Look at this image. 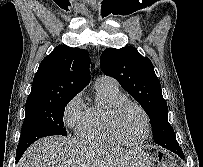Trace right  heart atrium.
Returning <instances> with one entry per match:
<instances>
[{"label":"right heart atrium","mask_w":203,"mask_h":167,"mask_svg":"<svg viewBox=\"0 0 203 167\" xmlns=\"http://www.w3.org/2000/svg\"><path fill=\"white\" fill-rule=\"evenodd\" d=\"M84 112V104L80 94L75 95L65 106L63 120L71 129H77Z\"/></svg>","instance_id":"right-heart-atrium-1"}]
</instances>
